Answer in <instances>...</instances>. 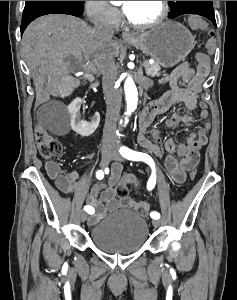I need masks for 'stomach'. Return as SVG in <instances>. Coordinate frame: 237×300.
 <instances>
[{"mask_svg": "<svg viewBox=\"0 0 237 300\" xmlns=\"http://www.w3.org/2000/svg\"><path fill=\"white\" fill-rule=\"evenodd\" d=\"M134 37L128 43L153 57L162 67H174L195 47V37L176 21H164L150 29H143L134 33Z\"/></svg>", "mask_w": 237, "mask_h": 300, "instance_id": "stomach-1", "label": "stomach"}]
</instances>
